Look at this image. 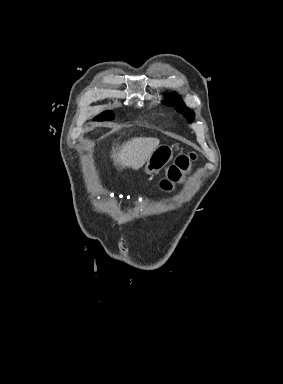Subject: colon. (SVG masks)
<instances>
[{"label": "colon", "mask_w": 283, "mask_h": 384, "mask_svg": "<svg viewBox=\"0 0 283 384\" xmlns=\"http://www.w3.org/2000/svg\"><path fill=\"white\" fill-rule=\"evenodd\" d=\"M196 155L194 153L181 154L171 165L166 179L162 180L161 187L164 190H170L174 183L178 182L182 175L190 168L191 164L195 161Z\"/></svg>", "instance_id": "1"}]
</instances>
